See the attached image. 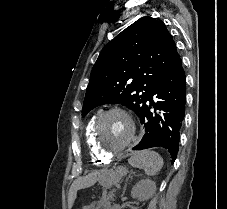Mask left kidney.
Instances as JSON below:
<instances>
[{"mask_svg":"<svg viewBox=\"0 0 227 209\" xmlns=\"http://www.w3.org/2000/svg\"><path fill=\"white\" fill-rule=\"evenodd\" d=\"M156 193V183L150 181V179H141L139 183L134 185L131 191L132 199H139V201H144V199H150Z\"/></svg>","mask_w":227,"mask_h":209,"instance_id":"obj_1","label":"left kidney"}]
</instances>
